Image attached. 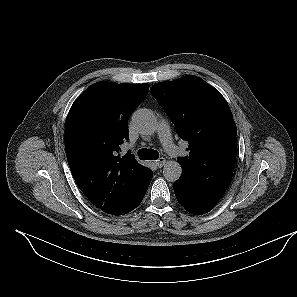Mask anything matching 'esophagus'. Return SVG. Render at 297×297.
I'll return each instance as SVG.
<instances>
[{
    "instance_id": "1",
    "label": "esophagus",
    "mask_w": 297,
    "mask_h": 297,
    "mask_svg": "<svg viewBox=\"0 0 297 297\" xmlns=\"http://www.w3.org/2000/svg\"><path fill=\"white\" fill-rule=\"evenodd\" d=\"M166 163V159L163 157H160L157 161H155V164L159 167L162 168Z\"/></svg>"
}]
</instances>
